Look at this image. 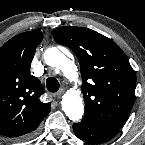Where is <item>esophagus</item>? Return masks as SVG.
I'll use <instances>...</instances> for the list:
<instances>
[{
    "label": "esophagus",
    "mask_w": 145,
    "mask_h": 145,
    "mask_svg": "<svg viewBox=\"0 0 145 145\" xmlns=\"http://www.w3.org/2000/svg\"><path fill=\"white\" fill-rule=\"evenodd\" d=\"M63 93H64V89L62 88L57 93L54 94V97L56 99H59L62 96Z\"/></svg>",
    "instance_id": "1"
}]
</instances>
